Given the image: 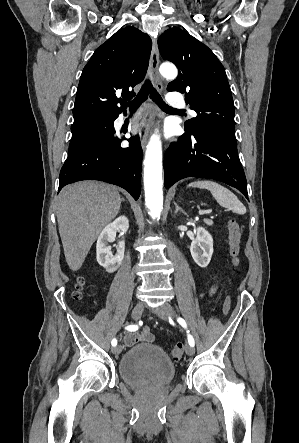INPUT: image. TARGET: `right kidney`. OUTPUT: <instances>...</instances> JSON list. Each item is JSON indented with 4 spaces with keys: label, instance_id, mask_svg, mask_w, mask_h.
I'll return each instance as SVG.
<instances>
[{
    "label": "right kidney",
    "instance_id": "obj_1",
    "mask_svg": "<svg viewBox=\"0 0 299 443\" xmlns=\"http://www.w3.org/2000/svg\"><path fill=\"white\" fill-rule=\"evenodd\" d=\"M128 228L129 221L127 217L120 216L108 224L98 237L96 244L97 262L109 273L115 272L121 265L124 258L125 242L124 240L119 242L114 256L110 254L111 247L108 246V242L115 240L117 230L126 233Z\"/></svg>",
    "mask_w": 299,
    "mask_h": 443
}]
</instances>
